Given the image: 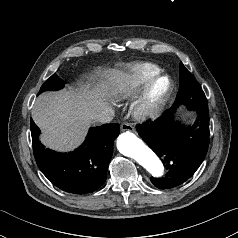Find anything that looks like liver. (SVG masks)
Instances as JSON below:
<instances>
[{
  "label": "liver",
  "mask_w": 238,
  "mask_h": 238,
  "mask_svg": "<svg viewBox=\"0 0 238 238\" xmlns=\"http://www.w3.org/2000/svg\"><path fill=\"white\" fill-rule=\"evenodd\" d=\"M122 74L107 69L96 86L60 92H45L35 101L32 119L41 129V142L53 150L67 152L84 141L94 115L109 107L106 97L120 84Z\"/></svg>",
  "instance_id": "1"
}]
</instances>
